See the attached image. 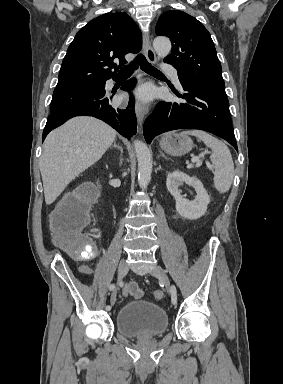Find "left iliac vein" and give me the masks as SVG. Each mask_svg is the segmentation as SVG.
Here are the masks:
<instances>
[{"instance_id": "obj_1", "label": "left iliac vein", "mask_w": 283, "mask_h": 384, "mask_svg": "<svg viewBox=\"0 0 283 384\" xmlns=\"http://www.w3.org/2000/svg\"><path fill=\"white\" fill-rule=\"evenodd\" d=\"M150 274L158 278L164 285L165 290L171 293V283L166 271L159 265H156L150 271Z\"/></svg>"}]
</instances>
